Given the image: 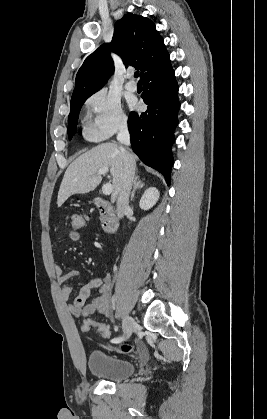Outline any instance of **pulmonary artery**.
Instances as JSON below:
<instances>
[{
  "label": "pulmonary artery",
  "mask_w": 267,
  "mask_h": 419,
  "mask_svg": "<svg viewBox=\"0 0 267 419\" xmlns=\"http://www.w3.org/2000/svg\"><path fill=\"white\" fill-rule=\"evenodd\" d=\"M127 77L129 79V81L125 85L126 89L129 90V91H132V92L136 91L137 90V84H136L135 81H133L131 79L132 78V73H128Z\"/></svg>",
  "instance_id": "1"
}]
</instances>
